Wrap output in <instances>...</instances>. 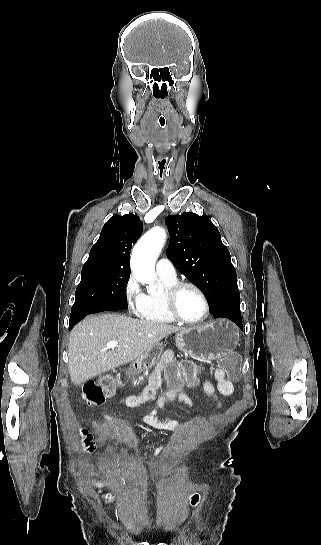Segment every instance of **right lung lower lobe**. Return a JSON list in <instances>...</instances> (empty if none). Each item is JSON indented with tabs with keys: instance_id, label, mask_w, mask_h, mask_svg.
<instances>
[{
	"instance_id": "obj_1",
	"label": "right lung lower lobe",
	"mask_w": 321,
	"mask_h": 545,
	"mask_svg": "<svg viewBox=\"0 0 321 545\" xmlns=\"http://www.w3.org/2000/svg\"><path fill=\"white\" fill-rule=\"evenodd\" d=\"M127 308H128V305H127V299H126V300H121L116 302L114 305L110 307L109 310H125ZM88 314L89 313H83L74 317H70L69 330H71L80 320H82Z\"/></svg>"
}]
</instances>
